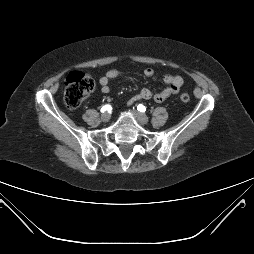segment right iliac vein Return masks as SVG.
<instances>
[{
  "mask_svg": "<svg viewBox=\"0 0 254 254\" xmlns=\"http://www.w3.org/2000/svg\"><path fill=\"white\" fill-rule=\"evenodd\" d=\"M110 117H111L110 114L108 112H105L101 115V120L103 122H108L110 120Z\"/></svg>",
  "mask_w": 254,
  "mask_h": 254,
  "instance_id": "63e3f726",
  "label": "right iliac vein"
}]
</instances>
